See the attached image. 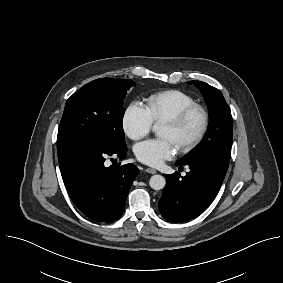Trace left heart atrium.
I'll list each match as a JSON object with an SVG mask.
<instances>
[{"instance_id": "obj_1", "label": "left heart atrium", "mask_w": 283, "mask_h": 283, "mask_svg": "<svg viewBox=\"0 0 283 283\" xmlns=\"http://www.w3.org/2000/svg\"><path fill=\"white\" fill-rule=\"evenodd\" d=\"M175 144L165 138L148 139L136 144L134 152L139 161L149 166H160L175 155Z\"/></svg>"}]
</instances>
